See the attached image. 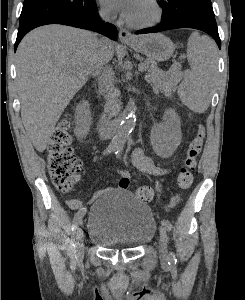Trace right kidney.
Masks as SVG:
<instances>
[{"instance_id":"right-kidney-1","label":"right kidney","mask_w":245,"mask_h":300,"mask_svg":"<svg viewBox=\"0 0 245 300\" xmlns=\"http://www.w3.org/2000/svg\"><path fill=\"white\" fill-rule=\"evenodd\" d=\"M75 124L76 128L74 132L77 138L79 140L85 138L89 133L91 125V112L88 102L83 101L76 107Z\"/></svg>"}]
</instances>
